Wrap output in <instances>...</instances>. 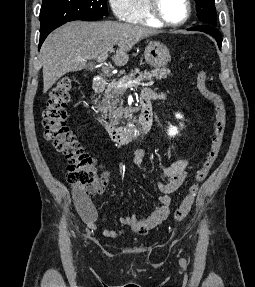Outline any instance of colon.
Wrapping results in <instances>:
<instances>
[{"instance_id": "obj_1", "label": "colon", "mask_w": 255, "mask_h": 287, "mask_svg": "<svg viewBox=\"0 0 255 287\" xmlns=\"http://www.w3.org/2000/svg\"><path fill=\"white\" fill-rule=\"evenodd\" d=\"M73 87L72 79L68 76L60 78L50 90L46 107L42 114L44 137L54 144V147L64 154L68 161L67 181L79 187H87L96 180L93 159L81 148L73 133L66 125L67 104ZM199 92L214 105L215 124L209 152L202 167L195 176L179 207L174 212L176 222L182 221L189 214L194 203L199 186L207 178L215 164L224 140L226 129V111L222 99L207 87V74L201 71L197 75Z\"/></svg>"}]
</instances>
